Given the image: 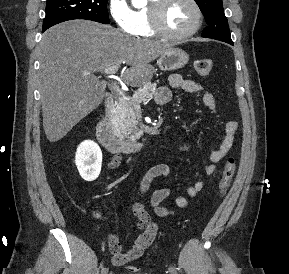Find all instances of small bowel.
I'll list each match as a JSON object with an SVG mask.
<instances>
[{
	"mask_svg": "<svg viewBox=\"0 0 289 274\" xmlns=\"http://www.w3.org/2000/svg\"><path fill=\"white\" fill-rule=\"evenodd\" d=\"M169 84L172 88L180 89L187 93H200L202 101L211 111L216 112V101L214 96L206 91L204 87L193 81L183 79L180 75L174 74L170 76ZM172 97V93L167 87H160L156 93V101L161 105L167 104ZM238 131V123L228 121L224 123V132L221 138L219 147L208 155V164L204 167V173L207 176H212L216 173V163L223 159L233 146L236 133ZM181 150H186L187 146L180 147ZM121 162L120 156H115L108 164L109 168H116ZM171 173L170 167L166 164H157L151 167L142 178L138 193L137 201L132 207V212L138 219L136 229L140 234L136 238L134 244L128 251H123L118 238L111 235L108 239V247L112 254V263L115 266H122L126 263L136 260L141 257L144 251L152 244L157 232L158 226L152 215L146 210L140 202L141 197L148 190L151 182L158 177H167ZM205 187V182L200 179L194 180L185 188L188 197H196ZM172 193L170 186H164L156 190L150 199L153 212L160 217H165L173 213L172 209L161 206V202ZM175 204L178 208H186L189 205V200L186 196L176 195Z\"/></svg>",
	"mask_w": 289,
	"mask_h": 274,
	"instance_id": "obj_1",
	"label": "small bowel"
}]
</instances>
